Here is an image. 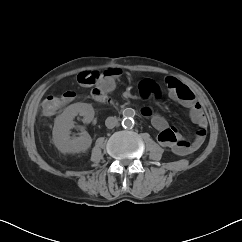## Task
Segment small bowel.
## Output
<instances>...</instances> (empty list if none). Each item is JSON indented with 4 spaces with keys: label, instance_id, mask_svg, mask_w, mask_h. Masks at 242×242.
<instances>
[{
    "label": "small bowel",
    "instance_id": "c3829d8e",
    "mask_svg": "<svg viewBox=\"0 0 242 242\" xmlns=\"http://www.w3.org/2000/svg\"><path fill=\"white\" fill-rule=\"evenodd\" d=\"M121 74L122 71L116 67L108 68L105 72L99 74V78L96 80L95 84L92 85L93 96L96 98V95L102 90H105L106 93L114 90L116 80ZM164 84L167 88L170 99L189 109L190 118L197 126L195 138L191 141L185 139L177 128L171 127L163 116L155 113L150 107L143 108L142 115L150 118L152 125L158 131V141L160 144L173 147L174 151L179 155H188L199 149L205 140L207 124L202 106L196 100L192 90L176 78L167 77ZM180 87L185 89L187 95L180 93ZM66 94L69 97V100L67 101L68 103L71 100L72 93L68 92ZM140 94L144 98L153 95H145L141 91Z\"/></svg>",
    "mask_w": 242,
    "mask_h": 242
}]
</instances>
